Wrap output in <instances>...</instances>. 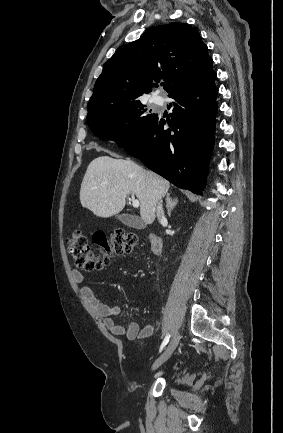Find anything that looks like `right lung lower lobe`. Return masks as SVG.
<instances>
[{
    "label": "right lung lower lobe",
    "mask_w": 283,
    "mask_h": 433,
    "mask_svg": "<svg viewBox=\"0 0 283 433\" xmlns=\"http://www.w3.org/2000/svg\"><path fill=\"white\" fill-rule=\"evenodd\" d=\"M216 73L185 90L169 94L174 108L167 124L158 115L144 135L125 151L174 185L199 193L214 145L217 112ZM172 105V103H170Z\"/></svg>",
    "instance_id": "right-lung-lower-lobe-1"
}]
</instances>
